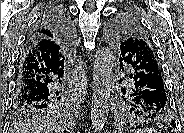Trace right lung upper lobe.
<instances>
[{
	"mask_svg": "<svg viewBox=\"0 0 184 133\" xmlns=\"http://www.w3.org/2000/svg\"><path fill=\"white\" fill-rule=\"evenodd\" d=\"M32 39L37 40V46L46 53H59L66 47L65 37L54 27L48 25L35 26L26 43Z\"/></svg>",
	"mask_w": 184,
	"mask_h": 133,
	"instance_id": "obj_1",
	"label": "right lung upper lobe"
}]
</instances>
